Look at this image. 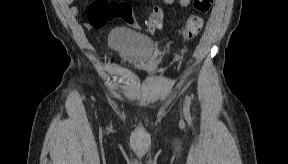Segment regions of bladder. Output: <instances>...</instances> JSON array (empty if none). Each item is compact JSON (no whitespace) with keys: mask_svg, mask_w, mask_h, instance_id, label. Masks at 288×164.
<instances>
[{"mask_svg":"<svg viewBox=\"0 0 288 164\" xmlns=\"http://www.w3.org/2000/svg\"><path fill=\"white\" fill-rule=\"evenodd\" d=\"M111 42L124 59L138 66L148 64L156 50L154 43L144 37L120 34L113 36Z\"/></svg>","mask_w":288,"mask_h":164,"instance_id":"1","label":"bladder"}]
</instances>
